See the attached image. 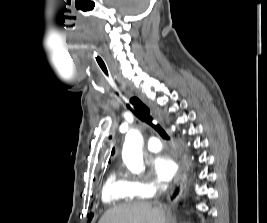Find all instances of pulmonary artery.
Here are the masks:
<instances>
[{"label": "pulmonary artery", "instance_id": "e3ab8cb5", "mask_svg": "<svg viewBox=\"0 0 267 223\" xmlns=\"http://www.w3.org/2000/svg\"><path fill=\"white\" fill-rule=\"evenodd\" d=\"M146 147L151 152H157L161 150L162 143L157 137H152L148 140Z\"/></svg>", "mask_w": 267, "mask_h": 223}]
</instances>
